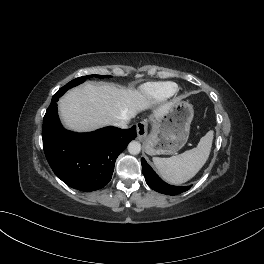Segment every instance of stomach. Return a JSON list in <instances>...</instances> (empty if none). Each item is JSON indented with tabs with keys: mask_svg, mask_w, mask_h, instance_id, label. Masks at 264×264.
Here are the masks:
<instances>
[{
	"mask_svg": "<svg viewBox=\"0 0 264 264\" xmlns=\"http://www.w3.org/2000/svg\"><path fill=\"white\" fill-rule=\"evenodd\" d=\"M193 116L191 104L175 101L166 114L154 121L152 131L145 140L146 153L168 155L181 149L188 140Z\"/></svg>",
	"mask_w": 264,
	"mask_h": 264,
	"instance_id": "stomach-1",
	"label": "stomach"
}]
</instances>
